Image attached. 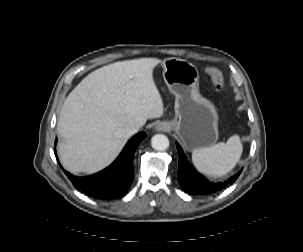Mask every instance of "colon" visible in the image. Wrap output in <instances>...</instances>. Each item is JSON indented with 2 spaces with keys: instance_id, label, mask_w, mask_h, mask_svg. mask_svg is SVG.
I'll list each match as a JSON object with an SVG mask.
<instances>
[{
  "instance_id": "1",
  "label": "colon",
  "mask_w": 303,
  "mask_h": 252,
  "mask_svg": "<svg viewBox=\"0 0 303 252\" xmlns=\"http://www.w3.org/2000/svg\"><path fill=\"white\" fill-rule=\"evenodd\" d=\"M205 71L210 76L215 88L221 93L225 92L226 86L222 73L214 67H207Z\"/></svg>"
}]
</instances>
